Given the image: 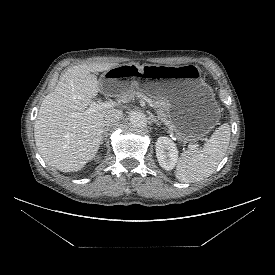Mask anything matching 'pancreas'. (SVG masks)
Segmentation results:
<instances>
[{"label": "pancreas", "mask_w": 275, "mask_h": 275, "mask_svg": "<svg viewBox=\"0 0 275 275\" xmlns=\"http://www.w3.org/2000/svg\"><path fill=\"white\" fill-rule=\"evenodd\" d=\"M137 96H144V94L139 91L130 90L127 93L122 94L119 97V99L123 102H128ZM150 104L153 107V109L156 111L157 117L159 118V120L164 124H168L169 122L168 102L165 101L164 99H157L156 101L151 100Z\"/></svg>", "instance_id": "obj_1"}]
</instances>
